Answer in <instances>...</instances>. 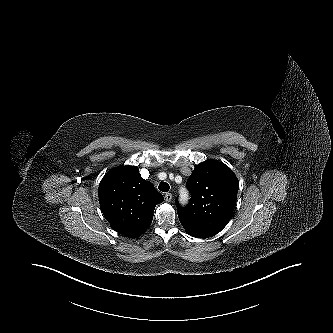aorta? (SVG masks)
<instances>
[{
  "label": "aorta",
  "instance_id": "1",
  "mask_svg": "<svg viewBox=\"0 0 333 333\" xmlns=\"http://www.w3.org/2000/svg\"><path fill=\"white\" fill-rule=\"evenodd\" d=\"M182 197H183V200H185L187 198L185 194Z\"/></svg>",
  "mask_w": 333,
  "mask_h": 333
}]
</instances>
